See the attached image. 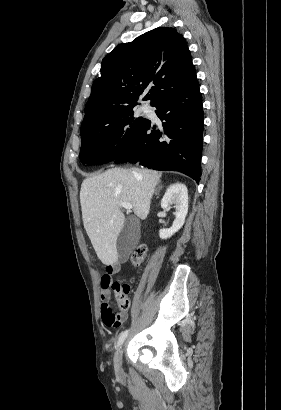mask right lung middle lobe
<instances>
[{"instance_id":"right-lung-middle-lobe-1","label":"right lung middle lobe","mask_w":281,"mask_h":410,"mask_svg":"<svg viewBox=\"0 0 281 410\" xmlns=\"http://www.w3.org/2000/svg\"><path fill=\"white\" fill-rule=\"evenodd\" d=\"M133 106L108 111L81 125L80 161L98 165L115 160L138 136L148 119L136 117Z\"/></svg>"}]
</instances>
